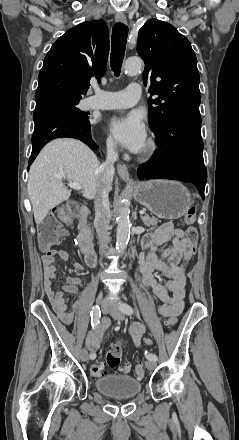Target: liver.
Instances as JSON below:
<instances>
[{"instance_id": "1", "label": "liver", "mask_w": 239, "mask_h": 440, "mask_svg": "<svg viewBox=\"0 0 239 440\" xmlns=\"http://www.w3.org/2000/svg\"><path fill=\"white\" fill-rule=\"evenodd\" d=\"M98 168L100 162L94 152L79 140L57 138L46 144L30 168L27 184L36 224L70 198L62 178L80 184L84 198L93 200L100 180Z\"/></svg>"}]
</instances>
